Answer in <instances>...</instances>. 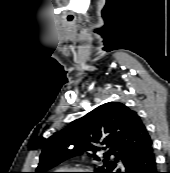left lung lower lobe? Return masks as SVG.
Instances as JSON below:
<instances>
[{"label":"left lung lower lobe","mask_w":170,"mask_h":173,"mask_svg":"<svg viewBox=\"0 0 170 173\" xmlns=\"http://www.w3.org/2000/svg\"><path fill=\"white\" fill-rule=\"evenodd\" d=\"M124 171L115 168L113 173H158L152 141L122 159Z\"/></svg>","instance_id":"1"}]
</instances>
